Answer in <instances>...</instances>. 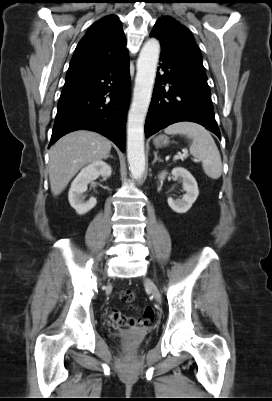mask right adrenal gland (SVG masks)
Returning <instances> with one entry per match:
<instances>
[{
	"label": "right adrenal gland",
	"instance_id": "right-adrenal-gland-1",
	"mask_svg": "<svg viewBox=\"0 0 272 401\" xmlns=\"http://www.w3.org/2000/svg\"><path fill=\"white\" fill-rule=\"evenodd\" d=\"M109 157H110V158H113V156H112V155H108V156H107V158H109ZM107 158H106V159H107Z\"/></svg>",
	"mask_w": 272,
	"mask_h": 401
}]
</instances>
